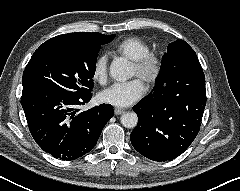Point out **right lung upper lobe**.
<instances>
[{
  "mask_svg": "<svg viewBox=\"0 0 240 191\" xmlns=\"http://www.w3.org/2000/svg\"><path fill=\"white\" fill-rule=\"evenodd\" d=\"M115 35H104L98 32H76L58 35L47 42H57L65 45L95 47L113 40Z\"/></svg>",
  "mask_w": 240,
  "mask_h": 191,
  "instance_id": "right-lung-upper-lobe-1",
  "label": "right lung upper lobe"
}]
</instances>
